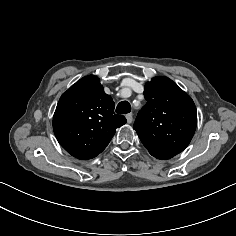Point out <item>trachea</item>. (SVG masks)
<instances>
[{
	"instance_id": "1",
	"label": "trachea",
	"mask_w": 236,
	"mask_h": 236,
	"mask_svg": "<svg viewBox=\"0 0 236 236\" xmlns=\"http://www.w3.org/2000/svg\"><path fill=\"white\" fill-rule=\"evenodd\" d=\"M131 111V105L128 101L120 102L116 107V113L127 114Z\"/></svg>"
}]
</instances>
